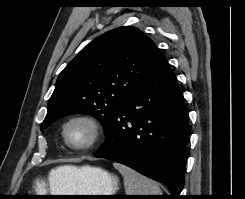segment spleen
<instances>
[{
	"label": "spleen",
	"mask_w": 245,
	"mask_h": 199,
	"mask_svg": "<svg viewBox=\"0 0 245 199\" xmlns=\"http://www.w3.org/2000/svg\"><path fill=\"white\" fill-rule=\"evenodd\" d=\"M113 166L124 178L126 195H162L161 189L153 180L125 165L114 163Z\"/></svg>",
	"instance_id": "3e777b00"
}]
</instances>
